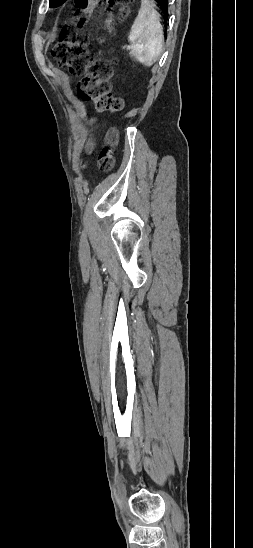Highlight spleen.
Returning a JSON list of instances; mask_svg holds the SVG:
<instances>
[{"label": "spleen", "mask_w": 253, "mask_h": 548, "mask_svg": "<svg viewBox=\"0 0 253 548\" xmlns=\"http://www.w3.org/2000/svg\"><path fill=\"white\" fill-rule=\"evenodd\" d=\"M134 47L131 55L146 67L152 66L159 58L163 42V28L160 15L150 0H141L138 12L128 36Z\"/></svg>", "instance_id": "3e777b00"}]
</instances>
